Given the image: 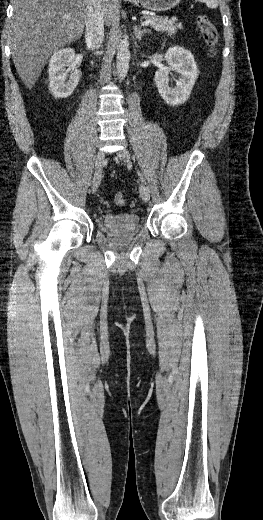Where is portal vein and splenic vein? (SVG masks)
Masks as SVG:
<instances>
[{
    "mask_svg": "<svg viewBox=\"0 0 263 520\" xmlns=\"http://www.w3.org/2000/svg\"><path fill=\"white\" fill-rule=\"evenodd\" d=\"M66 19H70V16L66 15L65 16ZM152 21L151 20H145L144 22L141 23L142 26H147L149 24H151Z\"/></svg>",
    "mask_w": 263,
    "mask_h": 520,
    "instance_id": "1",
    "label": "portal vein and splenic vein"
}]
</instances>
